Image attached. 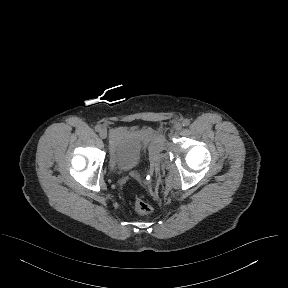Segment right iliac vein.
<instances>
[{"label":"right iliac vein","mask_w":288,"mask_h":288,"mask_svg":"<svg viewBox=\"0 0 288 288\" xmlns=\"http://www.w3.org/2000/svg\"><path fill=\"white\" fill-rule=\"evenodd\" d=\"M99 135L102 139H105L107 137V131L105 129H102L100 132H99Z\"/></svg>","instance_id":"right-iliac-vein-1"}]
</instances>
